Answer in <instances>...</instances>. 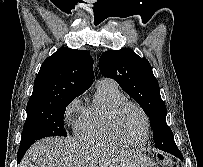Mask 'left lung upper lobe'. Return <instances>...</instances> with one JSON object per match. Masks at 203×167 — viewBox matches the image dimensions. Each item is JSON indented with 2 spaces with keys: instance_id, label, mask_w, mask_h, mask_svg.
Listing matches in <instances>:
<instances>
[{
  "instance_id": "5c2ea615",
  "label": "left lung upper lobe",
  "mask_w": 203,
  "mask_h": 167,
  "mask_svg": "<svg viewBox=\"0 0 203 167\" xmlns=\"http://www.w3.org/2000/svg\"><path fill=\"white\" fill-rule=\"evenodd\" d=\"M99 69L104 77L112 78L131 96L149 117L153 139H174L166 123V106L160 96V88L152 67L130 48L108 50L99 59ZM179 158H181V153Z\"/></svg>"
}]
</instances>
